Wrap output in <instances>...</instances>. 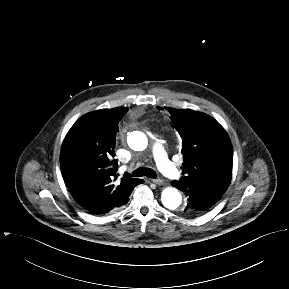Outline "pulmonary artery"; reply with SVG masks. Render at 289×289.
I'll use <instances>...</instances> for the list:
<instances>
[{"label":"pulmonary artery","mask_w":289,"mask_h":289,"mask_svg":"<svg viewBox=\"0 0 289 289\" xmlns=\"http://www.w3.org/2000/svg\"><path fill=\"white\" fill-rule=\"evenodd\" d=\"M153 155L160 171L170 179L178 180L181 178V172L168 159L163 145L156 142L153 145Z\"/></svg>","instance_id":"pulmonary-artery-1"}]
</instances>
